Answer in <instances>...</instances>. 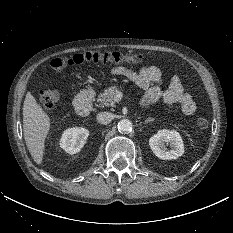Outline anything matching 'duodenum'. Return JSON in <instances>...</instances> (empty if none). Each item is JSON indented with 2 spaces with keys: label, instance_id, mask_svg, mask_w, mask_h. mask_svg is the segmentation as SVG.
I'll return each instance as SVG.
<instances>
[{
  "label": "duodenum",
  "instance_id": "obj_1",
  "mask_svg": "<svg viewBox=\"0 0 233 233\" xmlns=\"http://www.w3.org/2000/svg\"><path fill=\"white\" fill-rule=\"evenodd\" d=\"M94 101V92L92 90H83L76 95L74 99V110L79 116H87L92 110Z\"/></svg>",
  "mask_w": 233,
  "mask_h": 233
}]
</instances>
